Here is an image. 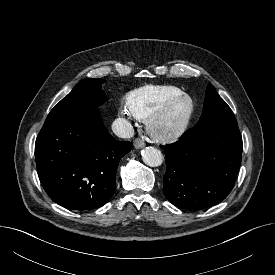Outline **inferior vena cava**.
Returning <instances> with one entry per match:
<instances>
[{
	"mask_svg": "<svg viewBox=\"0 0 275 275\" xmlns=\"http://www.w3.org/2000/svg\"><path fill=\"white\" fill-rule=\"evenodd\" d=\"M112 131L120 138H131L134 135L133 126L124 118H118L112 123Z\"/></svg>",
	"mask_w": 275,
	"mask_h": 275,
	"instance_id": "inferior-vena-cava-1",
	"label": "inferior vena cava"
}]
</instances>
